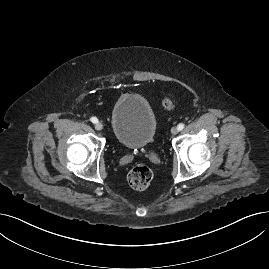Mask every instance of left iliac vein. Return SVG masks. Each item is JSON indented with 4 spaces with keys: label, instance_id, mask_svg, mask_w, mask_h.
<instances>
[{
    "label": "left iliac vein",
    "instance_id": "obj_1",
    "mask_svg": "<svg viewBox=\"0 0 269 269\" xmlns=\"http://www.w3.org/2000/svg\"><path fill=\"white\" fill-rule=\"evenodd\" d=\"M178 131H179V130H178V127H172V128H171V134H172V135H176V134L178 133Z\"/></svg>",
    "mask_w": 269,
    "mask_h": 269
}]
</instances>
